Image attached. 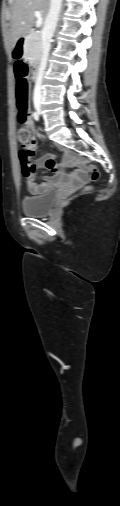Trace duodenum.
<instances>
[{"instance_id": "1", "label": "duodenum", "mask_w": 120, "mask_h": 506, "mask_svg": "<svg viewBox=\"0 0 120 506\" xmlns=\"http://www.w3.org/2000/svg\"><path fill=\"white\" fill-rule=\"evenodd\" d=\"M26 40H27V36L26 35H22L18 39V44L15 46V49H14L15 50L14 51V56L16 58L20 59V58H24L26 56V51H25L26 49H25V46H24L25 43H26ZM38 76H39V63L38 62H34L33 65H32V78H33V80L36 81L38 79Z\"/></svg>"}]
</instances>
